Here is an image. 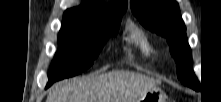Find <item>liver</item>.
<instances>
[{"mask_svg":"<svg viewBox=\"0 0 221 102\" xmlns=\"http://www.w3.org/2000/svg\"><path fill=\"white\" fill-rule=\"evenodd\" d=\"M159 83L142 74L112 71L57 84L46 102H134Z\"/></svg>","mask_w":221,"mask_h":102,"instance_id":"1","label":"liver"}]
</instances>
